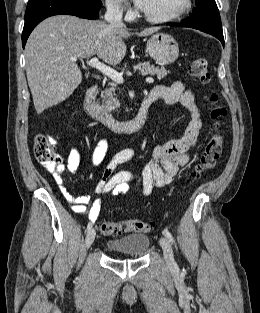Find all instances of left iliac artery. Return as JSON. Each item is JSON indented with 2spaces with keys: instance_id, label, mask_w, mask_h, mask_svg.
<instances>
[{
  "instance_id": "obj_1",
  "label": "left iliac artery",
  "mask_w": 260,
  "mask_h": 313,
  "mask_svg": "<svg viewBox=\"0 0 260 313\" xmlns=\"http://www.w3.org/2000/svg\"><path fill=\"white\" fill-rule=\"evenodd\" d=\"M163 234L168 238V240L171 242V243H174V238L172 236V234L167 230L165 229L163 231Z\"/></svg>"
}]
</instances>
